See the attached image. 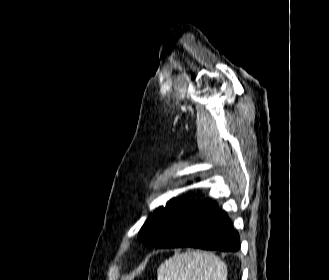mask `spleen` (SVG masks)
Here are the masks:
<instances>
[{
  "label": "spleen",
  "instance_id": "1",
  "mask_svg": "<svg viewBox=\"0 0 329 280\" xmlns=\"http://www.w3.org/2000/svg\"><path fill=\"white\" fill-rule=\"evenodd\" d=\"M158 280H227L226 264L213 253L187 251L164 261Z\"/></svg>",
  "mask_w": 329,
  "mask_h": 280
}]
</instances>
